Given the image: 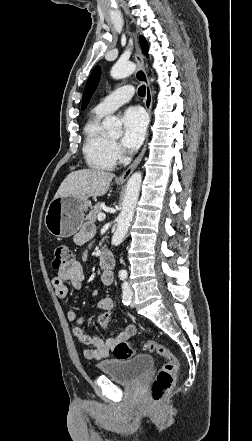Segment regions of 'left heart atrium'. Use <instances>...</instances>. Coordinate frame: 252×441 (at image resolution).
<instances>
[{"label":"left heart atrium","mask_w":252,"mask_h":441,"mask_svg":"<svg viewBox=\"0 0 252 441\" xmlns=\"http://www.w3.org/2000/svg\"><path fill=\"white\" fill-rule=\"evenodd\" d=\"M147 116L138 106L126 109L123 115L122 145L128 150H136L146 134Z\"/></svg>","instance_id":"39dd6f15"}]
</instances>
